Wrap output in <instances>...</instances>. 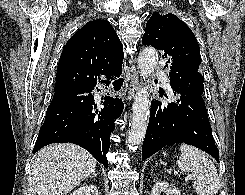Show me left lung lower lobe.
<instances>
[{
	"label": "left lung lower lobe",
	"mask_w": 245,
	"mask_h": 195,
	"mask_svg": "<svg viewBox=\"0 0 245 195\" xmlns=\"http://www.w3.org/2000/svg\"><path fill=\"white\" fill-rule=\"evenodd\" d=\"M178 94L176 103L151 102L150 119L142 147V160L166 145L185 143L193 145L219 162L207 109L202 94L190 88L172 87Z\"/></svg>",
	"instance_id": "left-lung-lower-lobe-1"
}]
</instances>
